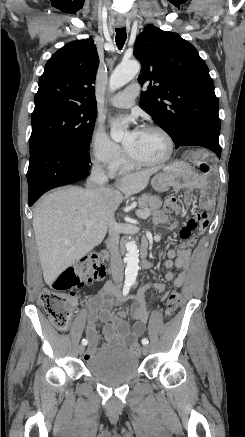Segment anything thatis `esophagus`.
Here are the masks:
<instances>
[{"label": "esophagus", "instance_id": "obj_1", "mask_svg": "<svg viewBox=\"0 0 245 437\" xmlns=\"http://www.w3.org/2000/svg\"><path fill=\"white\" fill-rule=\"evenodd\" d=\"M124 25H125L124 22H117V23H116V26L119 27V28L124 27Z\"/></svg>", "mask_w": 245, "mask_h": 437}]
</instances>
